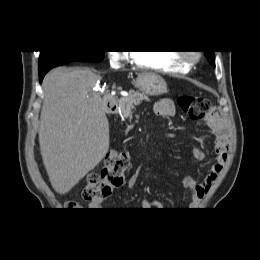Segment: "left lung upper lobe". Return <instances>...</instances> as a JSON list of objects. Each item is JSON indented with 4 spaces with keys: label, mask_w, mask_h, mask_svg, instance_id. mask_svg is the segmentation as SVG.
Instances as JSON below:
<instances>
[{
    "label": "left lung upper lobe",
    "mask_w": 260,
    "mask_h": 260,
    "mask_svg": "<svg viewBox=\"0 0 260 260\" xmlns=\"http://www.w3.org/2000/svg\"><path fill=\"white\" fill-rule=\"evenodd\" d=\"M206 57L209 61V63L213 66H215V61H214V51H205Z\"/></svg>",
    "instance_id": "left-lung-upper-lobe-1"
}]
</instances>
